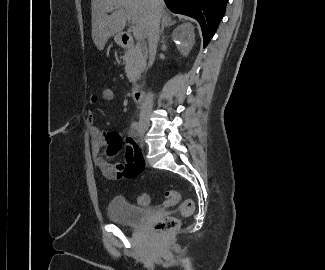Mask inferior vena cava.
Masks as SVG:
<instances>
[{"instance_id": "obj_1", "label": "inferior vena cava", "mask_w": 325, "mask_h": 270, "mask_svg": "<svg viewBox=\"0 0 325 270\" xmlns=\"http://www.w3.org/2000/svg\"><path fill=\"white\" fill-rule=\"evenodd\" d=\"M154 5V11L149 23L148 41H149V65L152 66L155 60L157 44L159 41V26L161 13L157 8L158 0H152ZM153 95L148 93L145 101L141 106L140 119L142 121H148L152 112Z\"/></svg>"}]
</instances>
